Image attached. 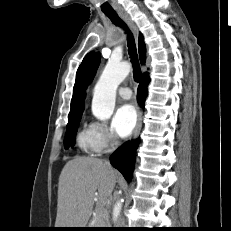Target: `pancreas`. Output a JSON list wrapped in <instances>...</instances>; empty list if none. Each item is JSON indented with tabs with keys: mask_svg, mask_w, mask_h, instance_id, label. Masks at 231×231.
<instances>
[{
	"mask_svg": "<svg viewBox=\"0 0 231 231\" xmlns=\"http://www.w3.org/2000/svg\"><path fill=\"white\" fill-rule=\"evenodd\" d=\"M94 220H95L94 221L95 226L102 227V228L106 227L109 223L108 212L102 208L97 209Z\"/></svg>",
	"mask_w": 231,
	"mask_h": 231,
	"instance_id": "1",
	"label": "pancreas"
}]
</instances>
